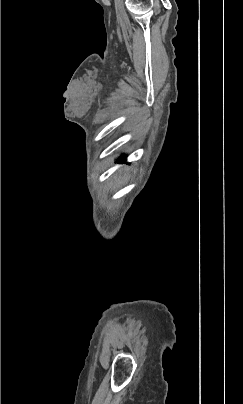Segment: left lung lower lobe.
I'll return each instance as SVG.
<instances>
[{
    "mask_svg": "<svg viewBox=\"0 0 243 404\" xmlns=\"http://www.w3.org/2000/svg\"><path fill=\"white\" fill-rule=\"evenodd\" d=\"M124 159H125V156H123V157H120L118 160H117V162H123L124 161Z\"/></svg>",
    "mask_w": 243,
    "mask_h": 404,
    "instance_id": "left-lung-lower-lobe-1",
    "label": "left lung lower lobe"
}]
</instances>
